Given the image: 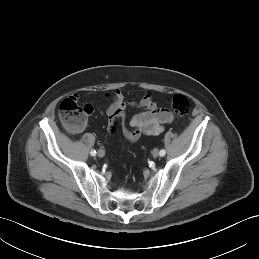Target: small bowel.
Listing matches in <instances>:
<instances>
[{"instance_id": "1", "label": "small bowel", "mask_w": 259, "mask_h": 259, "mask_svg": "<svg viewBox=\"0 0 259 259\" xmlns=\"http://www.w3.org/2000/svg\"><path fill=\"white\" fill-rule=\"evenodd\" d=\"M107 97L111 100L106 113L109 122L116 116L120 117L128 106L137 107L142 111L134 115L129 125L124 128L123 134L129 142L137 141L142 135H158L164 125L173 122V114L165 108H159L157 99L153 93L145 94L140 100H127L121 90L115 89ZM87 115H91L94 108L91 104H85ZM104 144L103 141L100 142Z\"/></svg>"}]
</instances>
